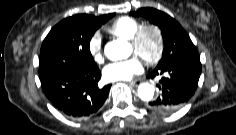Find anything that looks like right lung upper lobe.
I'll use <instances>...</instances> for the list:
<instances>
[{"label":"right lung upper lobe","instance_id":"cb5924a9","mask_svg":"<svg viewBox=\"0 0 236 135\" xmlns=\"http://www.w3.org/2000/svg\"><path fill=\"white\" fill-rule=\"evenodd\" d=\"M89 16H92V15H89ZM102 16H104V15H102ZM102 16H100V17H102ZM93 17H95V16H93Z\"/></svg>","mask_w":236,"mask_h":135}]
</instances>
